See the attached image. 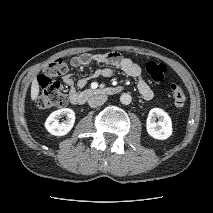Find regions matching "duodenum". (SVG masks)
Returning a JSON list of instances; mask_svg holds the SVG:
<instances>
[{
	"label": "duodenum",
	"instance_id": "1",
	"mask_svg": "<svg viewBox=\"0 0 213 213\" xmlns=\"http://www.w3.org/2000/svg\"><path fill=\"white\" fill-rule=\"evenodd\" d=\"M121 90H122L121 86L107 87L104 89H87L78 94L76 103L83 104L88 99L101 95H115L120 93Z\"/></svg>",
	"mask_w": 213,
	"mask_h": 213
}]
</instances>
